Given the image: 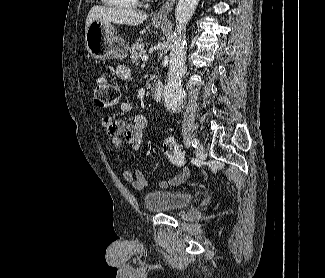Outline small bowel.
<instances>
[{
    "label": "small bowel",
    "instance_id": "1",
    "mask_svg": "<svg viewBox=\"0 0 325 278\" xmlns=\"http://www.w3.org/2000/svg\"><path fill=\"white\" fill-rule=\"evenodd\" d=\"M116 74L120 79L128 80L131 77L130 69L125 65H120L116 69ZM119 109L123 113H129L133 110V104L129 100L120 103ZM101 124L108 141L115 147H119L123 142L130 145L135 151L139 150L141 138L147 128V118L143 113H137L131 123L124 120H115L110 115H104ZM123 178L138 189L144 188L148 181L140 170L134 172L125 170L122 173ZM188 171H183L178 176L163 180L161 187H168L180 183L188 178Z\"/></svg>",
    "mask_w": 325,
    "mask_h": 278
}]
</instances>
